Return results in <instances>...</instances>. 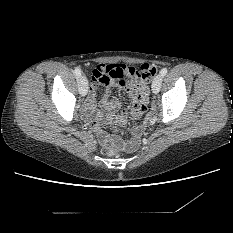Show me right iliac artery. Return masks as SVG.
Returning <instances> with one entry per match:
<instances>
[{
  "label": "right iliac artery",
  "instance_id": "obj_1",
  "mask_svg": "<svg viewBox=\"0 0 233 233\" xmlns=\"http://www.w3.org/2000/svg\"><path fill=\"white\" fill-rule=\"evenodd\" d=\"M74 73H75L77 78H79L81 76V70L79 68H75Z\"/></svg>",
  "mask_w": 233,
  "mask_h": 233
}]
</instances>
